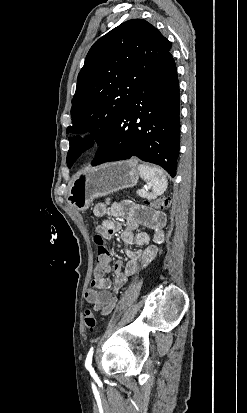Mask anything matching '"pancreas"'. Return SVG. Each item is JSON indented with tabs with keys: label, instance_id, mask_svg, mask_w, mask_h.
<instances>
[{
	"label": "pancreas",
	"instance_id": "obj_1",
	"mask_svg": "<svg viewBox=\"0 0 247 413\" xmlns=\"http://www.w3.org/2000/svg\"><path fill=\"white\" fill-rule=\"evenodd\" d=\"M137 194H139V196H143V198H149V200L155 198V194H152V192H142V190H137Z\"/></svg>",
	"mask_w": 247,
	"mask_h": 413
}]
</instances>
